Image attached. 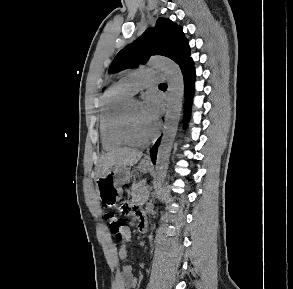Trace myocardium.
<instances>
[{
  "label": "myocardium",
  "instance_id": "obj_1",
  "mask_svg": "<svg viewBox=\"0 0 293 289\" xmlns=\"http://www.w3.org/2000/svg\"><path fill=\"white\" fill-rule=\"evenodd\" d=\"M132 101H128L124 107L122 121H121V134L125 142L131 146H144L153 141L159 133V125H155L153 132L145 139H137L132 132L130 108Z\"/></svg>",
  "mask_w": 293,
  "mask_h": 289
}]
</instances>
